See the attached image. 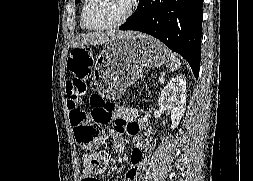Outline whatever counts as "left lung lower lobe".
Listing matches in <instances>:
<instances>
[{
	"instance_id": "1",
	"label": "left lung lower lobe",
	"mask_w": 253,
	"mask_h": 181,
	"mask_svg": "<svg viewBox=\"0 0 253 181\" xmlns=\"http://www.w3.org/2000/svg\"><path fill=\"white\" fill-rule=\"evenodd\" d=\"M203 0H140L119 27L147 33L183 56L199 76Z\"/></svg>"
}]
</instances>
